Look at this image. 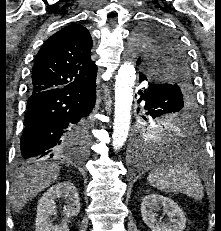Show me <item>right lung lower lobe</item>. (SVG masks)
<instances>
[{"mask_svg":"<svg viewBox=\"0 0 221 231\" xmlns=\"http://www.w3.org/2000/svg\"><path fill=\"white\" fill-rule=\"evenodd\" d=\"M95 81L31 94L20 143L21 161L85 155L86 138L74 128L90 120L96 100Z\"/></svg>","mask_w":221,"mask_h":231,"instance_id":"right-lung-lower-lobe-1","label":"right lung lower lobe"}]
</instances>
